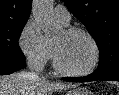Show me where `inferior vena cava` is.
I'll list each match as a JSON object with an SVG mask.
<instances>
[{
    "mask_svg": "<svg viewBox=\"0 0 119 95\" xmlns=\"http://www.w3.org/2000/svg\"><path fill=\"white\" fill-rule=\"evenodd\" d=\"M26 76L30 79H38L39 78V75L34 71L27 72Z\"/></svg>",
    "mask_w": 119,
    "mask_h": 95,
    "instance_id": "602c4592",
    "label": "inferior vena cava"
}]
</instances>
